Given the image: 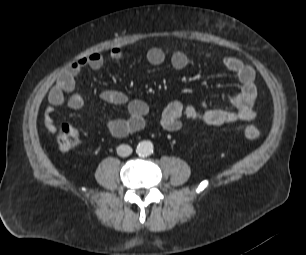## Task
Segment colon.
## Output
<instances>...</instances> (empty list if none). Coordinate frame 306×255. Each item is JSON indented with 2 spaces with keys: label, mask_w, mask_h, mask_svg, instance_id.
I'll return each mask as SVG.
<instances>
[{
  "label": "colon",
  "mask_w": 306,
  "mask_h": 255,
  "mask_svg": "<svg viewBox=\"0 0 306 255\" xmlns=\"http://www.w3.org/2000/svg\"><path fill=\"white\" fill-rule=\"evenodd\" d=\"M244 134L248 139H256L259 137L260 131L256 126L248 125L244 130ZM79 139L78 130L69 124H64L57 135V145L61 151L67 152L78 144Z\"/></svg>",
  "instance_id": "5ec220e1"
}]
</instances>
